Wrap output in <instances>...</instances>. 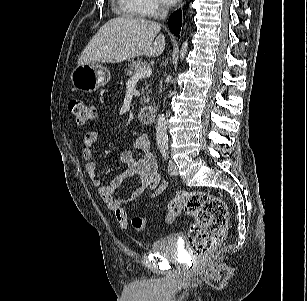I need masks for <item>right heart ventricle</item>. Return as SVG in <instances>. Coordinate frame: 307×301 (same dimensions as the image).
Listing matches in <instances>:
<instances>
[{
  "label": "right heart ventricle",
  "instance_id": "obj_1",
  "mask_svg": "<svg viewBox=\"0 0 307 301\" xmlns=\"http://www.w3.org/2000/svg\"><path fill=\"white\" fill-rule=\"evenodd\" d=\"M116 7L124 15L135 18L142 17L138 0H117Z\"/></svg>",
  "mask_w": 307,
  "mask_h": 301
}]
</instances>
